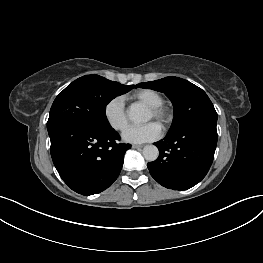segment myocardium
<instances>
[{"instance_id":"obj_1","label":"myocardium","mask_w":263,"mask_h":263,"mask_svg":"<svg viewBox=\"0 0 263 263\" xmlns=\"http://www.w3.org/2000/svg\"><path fill=\"white\" fill-rule=\"evenodd\" d=\"M150 111L153 113L154 119L162 124H167L172 118L171 111L162 105L150 107Z\"/></svg>"}]
</instances>
